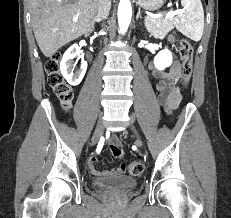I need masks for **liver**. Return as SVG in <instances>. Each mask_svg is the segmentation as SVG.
<instances>
[{
    "mask_svg": "<svg viewBox=\"0 0 231 218\" xmlns=\"http://www.w3.org/2000/svg\"><path fill=\"white\" fill-rule=\"evenodd\" d=\"M29 5L34 36L46 57L90 32L97 16V0H29Z\"/></svg>",
    "mask_w": 231,
    "mask_h": 218,
    "instance_id": "obj_1",
    "label": "liver"
}]
</instances>
